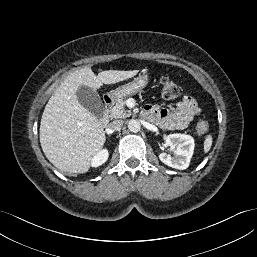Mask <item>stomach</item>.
I'll list each match as a JSON object with an SVG mask.
<instances>
[{
	"instance_id": "1",
	"label": "stomach",
	"mask_w": 257,
	"mask_h": 257,
	"mask_svg": "<svg viewBox=\"0 0 257 257\" xmlns=\"http://www.w3.org/2000/svg\"><path fill=\"white\" fill-rule=\"evenodd\" d=\"M149 82V74L144 71L139 74L134 80L117 87L116 89L109 92V97L116 101L120 98L136 94L142 90Z\"/></svg>"
}]
</instances>
